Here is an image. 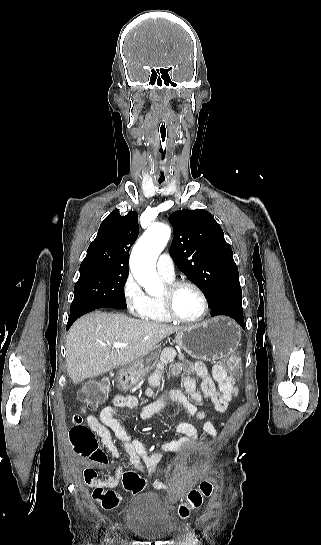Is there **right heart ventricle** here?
Instances as JSON below:
<instances>
[{"label": "right heart ventricle", "instance_id": "1", "mask_svg": "<svg viewBox=\"0 0 321 545\" xmlns=\"http://www.w3.org/2000/svg\"><path fill=\"white\" fill-rule=\"evenodd\" d=\"M142 319L149 323H165L170 321L169 318L162 311L159 302L153 300H150L148 310L144 317H142Z\"/></svg>", "mask_w": 321, "mask_h": 545}]
</instances>
